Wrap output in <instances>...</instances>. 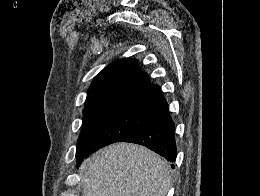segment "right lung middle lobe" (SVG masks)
Returning <instances> with one entry per match:
<instances>
[{"label": "right lung middle lobe", "instance_id": "1", "mask_svg": "<svg viewBox=\"0 0 260 196\" xmlns=\"http://www.w3.org/2000/svg\"><path fill=\"white\" fill-rule=\"evenodd\" d=\"M77 149L98 150L156 118L144 107L129 103L85 106Z\"/></svg>", "mask_w": 260, "mask_h": 196}]
</instances>
